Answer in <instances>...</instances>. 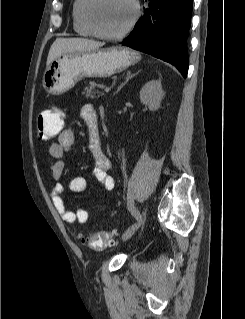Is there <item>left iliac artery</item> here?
Listing matches in <instances>:
<instances>
[{
	"label": "left iliac artery",
	"mask_w": 245,
	"mask_h": 319,
	"mask_svg": "<svg viewBox=\"0 0 245 319\" xmlns=\"http://www.w3.org/2000/svg\"><path fill=\"white\" fill-rule=\"evenodd\" d=\"M130 211H131V214L136 218L138 219L140 217V213L139 211L136 209V207L133 205V204H130Z\"/></svg>",
	"instance_id": "left-iliac-artery-1"
}]
</instances>
